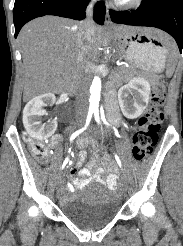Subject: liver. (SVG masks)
Instances as JSON below:
<instances>
[{"label": "liver", "instance_id": "obj_1", "mask_svg": "<svg viewBox=\"0 0 183 246\" xmlns=\"http://www.w3.org/2000/svg\"><path fill=\"white\" fill-rule=\"evenodd\" d=\"M134 31L135 27H120ZM150 30L165 42L169 37L157 29ZM80 25L70 19L44 16L27 23L18 35L24 71V100L45 93H60L73 87L79 78L78 53ZM104 41L103 29L97 25L94 35L84 42L85 59L92 64Z\"/></svg>", "mask_w": 183, "mask_h": 246}]
</instances>
